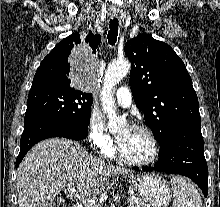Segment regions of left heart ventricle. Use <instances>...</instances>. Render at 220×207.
<instances>
[{
	"instance_id": "b2bd125f",
	"label": "left heart ventricle",
	"mask_w": 220,
	"mask_h": 207,
	"mask_svg": "<svg viewBox=\"0 0 220 207\" xmlns=\"http://www.w3.org/2000/svg\"><path fill=\"white\" fill-rule=\"evenodd\" d=\"M117 139L124 155L129 159L146 160L152 154V143L143 131L122 127L117 132Z\"/></svg>"
}]
</instances>
